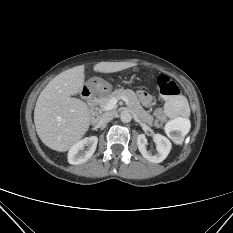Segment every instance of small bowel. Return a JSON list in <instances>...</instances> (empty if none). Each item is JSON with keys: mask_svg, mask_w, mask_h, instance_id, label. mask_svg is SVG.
I'll return each instance as SVG.
<instances>
[{"mask_svg": "<svg viewBox=\"0 0 233 233\" xmlns=\"http://www.w3.org/2000/svg\"><path fill=\"white\" fill-rule=\"evenodd\" d=\"M140 99L144 102V103H149L150 102V97L148 96V94H146L145 92H140L139 93ZM156 116L159 119H163V113L160 109H157L155 112Z\"/></svg>", "mask_w": 233, "mask_h": 233, "instance_id": "obj_1", "label": "small bowel"}]
</instances>
